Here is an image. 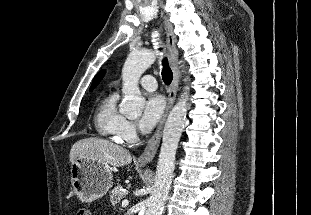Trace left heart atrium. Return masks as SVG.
Wrapping results in <instances>:
<instances>
[{"instance_id":"1","label":"left heart atrium","mask_w":311,"mask_h":215,"mask_svg":"<svg viewBox=\"0 0 311 215\" xmlns=\"http://www.w3.org/2000/svg\"><path fill=\"white\" fill-rule=\"evenodd\" d=\"M165 108L164 99L161 96L153 95L144 104L143 112L139 120L140 130L149 132L161 118Z\"/></svg>"}]
</instances>
